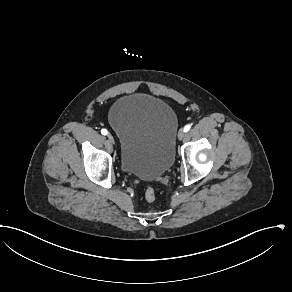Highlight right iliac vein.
<instances>
[{"instance_id":"right-iliac-vein-1","label":"right iliac vein","mask_w":292,"mask_h":292,"mask_svg":"<svg viewBox=\"0 0 292 292\" xmlns=\"http://www.w3.org/2000/svg\"><path fill=\"white\" fill-rule=\"evenodd\" d=\"M107 138H108L110 143L114 144V138H113V136L111 134H108Z\"/></svg>"}]
</instances>
